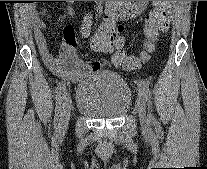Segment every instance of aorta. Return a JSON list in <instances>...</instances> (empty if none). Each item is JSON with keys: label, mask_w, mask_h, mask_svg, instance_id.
Listing matches in <instances>:
<instances>
[{"label": "aorta", "mask_w": 207, "mask_h": 169, "mask_svg": "<svg viewBox=\"0 0 207 169\" xmlns=\"http://www.w3.org/2000/svg\"><path fill=\"white\" fill-rule=\"evenodd\" d=\"M110 11L119 14H126L131 8V1H108Z\"/></svg>", "instance_id": "1"}]
</instances>
